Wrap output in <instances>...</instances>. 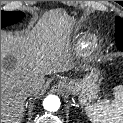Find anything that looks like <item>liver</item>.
Here are the masks:
<instances>
[{
    "instance_id": "6515ba94",
    "label": "liver",
    "mask_w": 123,
    "mask_h": 123,
    "mask_svg": "<svg viewBox=\"0 0 123 123\" xmlns=\"http://www.w3.org/2000/svg\"><path fill=\"white\" fill-rule=\"evenodd\" d=\"M71 21L60 11L51 12L32 31L1 32V123L21 122L27 99L25 84L36 83V95L45 75L74 68L67 49Z\"/></svg>"
}]
</instances>
